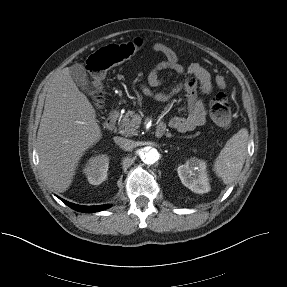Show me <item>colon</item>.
<instances>
[{"mask_svg":"<svg viewBox=\"0 0 287 287\" xmlns=\"http://www.w3.org/2000/svg\"><path fill=\"white\" fill-rule=\"evenodd\" d=\"M144 45L137 38L131 42L109 44L92 53L86 66L90 77L93 101L100 106L104 101L102 81L108 69L134 56ZM210 115L219 126L227 127L231 122V108L227 96L223 92L216 93L210 100Z\"/></svg>","mask_w":287,"mask_h":287,"instance_id":"5ec220e1","label":"colon"}]
</instances>
